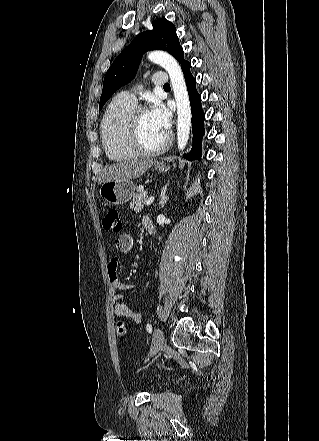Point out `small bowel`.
Returning a JSON list of instances; mask_svg holds the SVG:
<instances>
[{"label": "small bowel", "instance_id": "c3829d8e", "mask_svg": "<svg viewBox=\"0 0 319 441\" xmlns=\"http://www.w3.org/2000/svg\"><path fill=\"white\" fill-rule=\"evenodd\" d=\"M148 223H153L149 217H145L142 224L146 228ZM154 224V223H153ZM116 249L121 253H128L134 247V239L130 234H121L115 241ZM118 259L113 257L107 264V275L109 280V294L111 296V302L113 311L116 316L123 317L130 320L133 323H141L142 314L140 311H133L123 300V296L119 294V291H127L137 288V284L122 283L117 275Z\"/></svg>", "mask_w": 319, "mask_h": 441}]
</instances>
